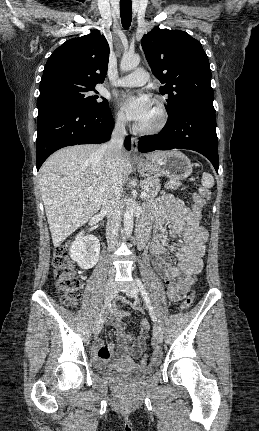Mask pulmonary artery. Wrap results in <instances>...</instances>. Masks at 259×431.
<instances>
[{"label":"pulmonary artery","mask_w":259,"mask_h":431,"mask_svg":"<svg viewBox=\"0 0 259 431\" xmlns=\"http://www.w3.org/2000/svg\"><path fill=\"white\" fill-rule=\"evenodd\" d=\"M147 81H148V73L144 69L137 68L131 74L116 80L114 84L116 86H121V87H135V86H141L145 84Z\"/></svg>","instance_id":"e3ab8cb5"}]
</instances>
